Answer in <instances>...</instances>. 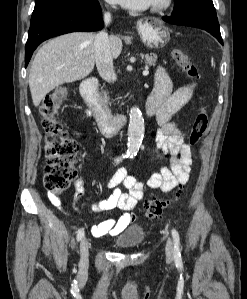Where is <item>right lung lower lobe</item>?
<instances>
[{
    "mask_svg": "<svg viewBox=\"0 0 247 299\" xmlns=\"http://www.w3.org/2000/svg\"><path fill=\"white\" fill-rule=\"evenodd\" d=\"M103 28L102 11L99 2L68 7L57 11L30 25L25 48V67L43 41L75 31H97Z\"/></svg>",
    "mask_w": 247,
    "mask_h": 299,
    "instance_id": "obj_1",
    "label": "right lung lower lobe"
}]
</instances>
